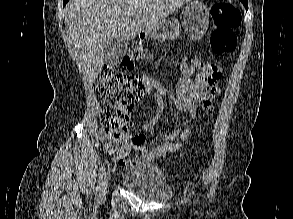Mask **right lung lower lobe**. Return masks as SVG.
Wrapping results in <instances>:
<instances>
[{
    "label": "right lung lower lobe",
    "mask_w": 293,
    "mask_h": 219,
    "mask_svg": "<svg viewBox=\"0 0 293 219\" xmlns=\"http://www.w3.org/2000/svg\"><path fill=\"white\" fill-rule=\"evenodd\" d=\"M67 2H68V0H64L63 1V6H65Z\"/></svg>",
    "instance_id": "obj_1"
}]
</instances>
